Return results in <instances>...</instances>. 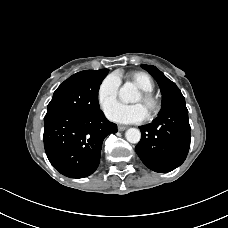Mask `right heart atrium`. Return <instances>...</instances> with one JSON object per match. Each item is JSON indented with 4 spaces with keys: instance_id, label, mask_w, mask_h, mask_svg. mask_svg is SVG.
Segmentation results:
<instances>
[{
    "instance_id": "1",
    "label": "right heart atrium",
    "mask_w": 228,
    "mask_h": 228,
    "mask_svg": "<svg viewBox=\"0 0 228 228\" xmlns=\"http://www.w3.org/2000/svg\"><path fill=\"white\" fill-rule=\"evenodd\" d=\"M120 84V77L115 73L107 75L101 81L97 90V99L103 109L115 101L118 95Z\"/></svg>"
}]
</instances>
